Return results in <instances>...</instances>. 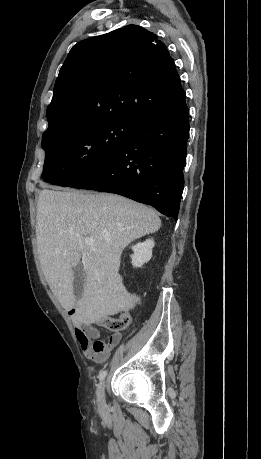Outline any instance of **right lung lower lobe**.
I'll list each match as a JSON object with an SVG mask.
<instances>
[{
  "label": "right lung lower lobe",
  "mask_w": 261,
  "mask_h": 459,
  "mask_svg": "<svg viewBox=\"0 0 261 459\" xmlns=\"http://www.w3.org/2000/svg\"><path fill=\"white\" fill-rule=\"evenodd\" d=\"M188 117L184 94L171 107L140 121L119 152L70 187L119 194L177 220Z\"/></svg>",
  "instance_id": "right-lung-lower-lobe-1"
}]
</instances>
